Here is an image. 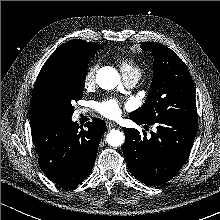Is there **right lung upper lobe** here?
Masks as SVG:
<instances>
[{"label":"right lung upper lobe","instance_id":"cb5924a9","mask_svg":"<svg viewBox=\"0 0 220 220\" xmlns=\"http://www.w3.org/2000/svg\"><path fill=\"white\" fill-rule=\"evenodd\" d=\"M101 47L98 43L75 39L64 43L53 52L43 65L36 79L30 108L31 126L54 116L48 99V90L51 74L57 66L64 60L76 55L95 54L96 50Z\"/></svg>","mask_w":220,"mask_h":220}]
</instances>
